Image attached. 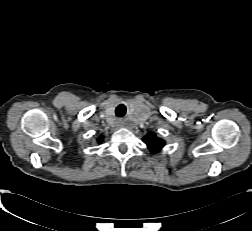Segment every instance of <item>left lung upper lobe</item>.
<instances>
[{"mask_svg": "<svg viewBox=\"0 0 252 231\" xmlns=\"http://www.w3.org/2000/svg\"><path fill=\"white\" fill-rule=\"evenodd\" d=\"M143 141L152 153L160 151L165 144V142L162 139L157 138L154 133L147 134L143 138Z\"/></svg>", "mask_w": 252, "mask_h": 231, "instance_id": "left-lung-upper-lobe-1", "label": "left lung upper lobe"}]
</instances>
